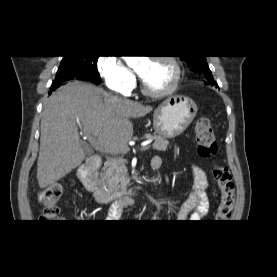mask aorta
I'll use <instances>...</instances> for the list:
<instances>
[{"mask_svg":"<svg viewBox=\"0 0 277 277\" xmlns=\"http://www.w3.org/2000/svg\"><path fill=\"white\" fill-rule=\"evenodd\" d=\"M139 60V56H125V61L130 66H135Z\"/></svg>","mask_w":277,"mask_h":277,"instance_id":"1","label":"aorta"}]
</instances>
